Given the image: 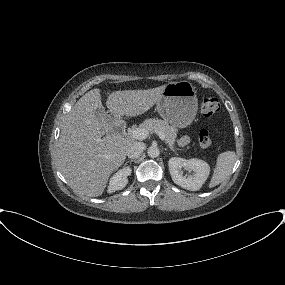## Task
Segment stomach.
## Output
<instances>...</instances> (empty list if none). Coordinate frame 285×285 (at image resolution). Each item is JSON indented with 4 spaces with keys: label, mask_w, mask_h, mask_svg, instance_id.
I'll list each match as a JSON object with an SVG mask.
<instances>
[{
    "label": "stomach",
    "mask_w": 285,
    "mask_h": 285,
    "mask_svg": "<svg viewBox=\"0 0 285 285\" xmlns=\"http://www.w3.org/2000/svg\"><path fill=\"white\" fill-rule=\"evenodd\" d=\"M196 92L195 87L188 81L167 84L157 102L159 115L174 127H187L194 120L198 110Z\"/></svg>",
    "instance_id": "obj_1"
}]
</instances>
